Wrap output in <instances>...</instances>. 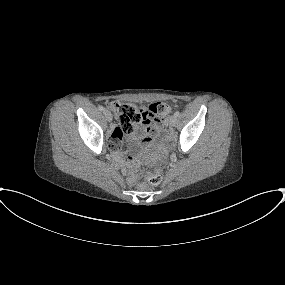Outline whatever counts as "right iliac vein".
Wrapping results in <instances>:
<instances>
[{
	"mask_svg": "<svg viewBox=\"0 0 285 285\" xmlns=\"http://www.w3.org/2000/svg\"><path fill=\"white\" fill-rule=\"evenodd\" d=\"M104 115H105L107 121H109V122L112 121V114H111L110 111L106 110V111L104 112Z\"/></svg>",
	"mask_w": 285,
	"mask_h": 285,
	"instance_id": "1",
	"label": "right iliac vein"
}]
</instances>
